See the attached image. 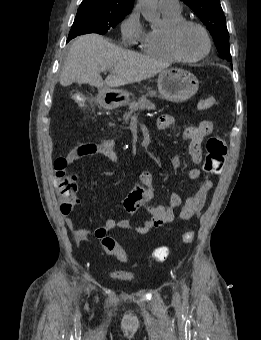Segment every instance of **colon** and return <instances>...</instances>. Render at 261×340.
Here are the masks:
<instances>
[{"instance_id": "obj_1", "label": "colon", "mask_w": 261, "mask_h": 340, "mask_svg": "<svg viewBox=\"0 0 261 340\" xmlns=\"http://www.w3.org/2000/svg\"><path fill=\"white\" fill-rule=\"evenodd\" d=\"M215 105L213 97L203 98L199 102V109L206 110ZM227 154L226 142L219 136H212L206 141V156L203 170L207 174H218L223 169L225 157ZM67 161L65 158H58L54 162L55 176L53 180L54 188L58 196L60 210L64 215L69 214L78 204L76 195L77 183L75 177L66 173ZM194 238L192 231H187L182 235V242L191 243ZM103 250L108 254L115 256L120 262H127L128 255L118 242L106 236L101 240ZM169 257V249L165 246L156 247L150 256L151 261L162 263Z\"/></svg>"}]
</instances>
